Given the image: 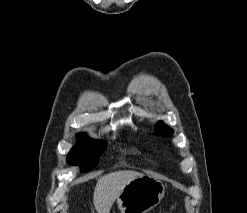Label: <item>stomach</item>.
I'll return each mask as SVG.
<instances>
[{"label": "stomach", "mask_w": 247, "mask_h": 213, "mask_svg": "<svg viewBox=\"0 0 247 213\" xmlns=\"http://www.w3.org/2000/svg\"><path fill=\"white\" fill-rule=\"evenodd\" d=\"M164 184L157 178L143 175L129 182L117 197L121 213H148L162 200Z\"/></svg>", "instance_id": "0dacf381"}]
</instances>
